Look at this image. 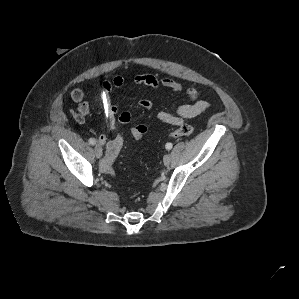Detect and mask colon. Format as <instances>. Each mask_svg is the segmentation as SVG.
<instances>
[{"mask_svg": "<svg viewBox=\"0 0 299 299\" xmlns=\"http://www.w3.org/2000/svg\"><path fill=\"white\" fill-rule=\"evenodd\" d=\"M74 117L80 121L85 118L84 114L79 112L78 110L74 112ZM193 132H194V128L191 125L183 124L178 128L172 130L170 132V136L173 138L185 137V136L192 135ZM145 134L146 131L143 127H139L135 125L130 129V135L136 141L141 140ZM124 144H125V135L122 132L116 133L108 141L105 156L100 163V168L104 173L111 176L114 175V164L118 159L124 147Z\"/></svg>", "mask_w": 299, "mask_h": 299, "instance_id": "colon-1", "label": "colon"}]
</instances>
